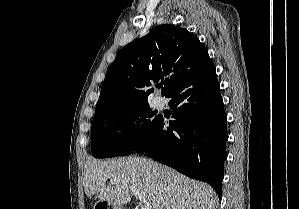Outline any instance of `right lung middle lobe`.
<instances>
[{
  "instance_id": "obj_1",
  "label": "right lung middle lobe",
  "mask_w": 299,
  "mask_h": 209,
  "mask_svg": "<svg viewBox=\"0 0 299 209\" xmlns=\"http://www.w3.org/2000/svg\"><path fill=\"white\" fill-rule=\"evenodd\" d=\"M159 117L148 103L95 115L91 128L92 155L108 158L131 154Z\"/></svg>"
}]
</instances>
